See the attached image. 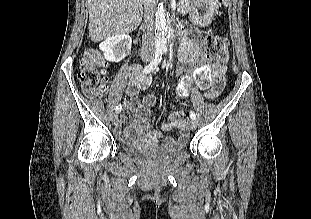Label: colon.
<instances>
[{"label": "colon", "instance_id": "1", "mask_svg": "<svg viewBox=\"0 0 311 219\" xmlns=\"http://www.w3.org/2000/svg\"><path fill=\"white\" fill-rule=\"evenodd\" d=\"M229 42L225 36H207L201 45L203 57L211 63L198 74L196 81L201 88H206L214 72L224 73V64L227 60ZM79 80L84 94L89 98L102 96L107 88L106 66L97 48L86 49L80 60ZM186 92V86L179 88Z\"/></svg>", "mask_w": 311, "mask_h": 219}]
</instances>
